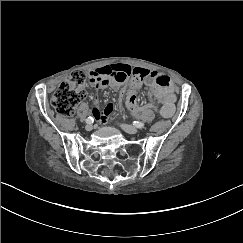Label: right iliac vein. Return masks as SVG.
<instances>
[{"label":"right iliac vein","mask_w":243,"mask_h":243,"mask_svg":"<svg viewBox=\"0 0 243 243\" xmlns=\"http://www.w3.org/2000/svg\"><path fill=\"white\" fill-rule=\"evenodd\" d=\"M85 129H86V131H91L93 129V125L92 124H87L85 126Z\"/></svg>","instance_id":"63e3f726"}]
</instances>
